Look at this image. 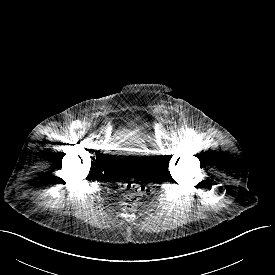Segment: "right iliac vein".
<instances>
[{
  "label": "right iliac vein",
  "mask_w": 275,
  "mask_h": 275,
  "mask_svg": "<svg viewBox=\"0 0 275 275\" xmlns=\"http://www.w3.org/2000/svg\"><path fill=\"white\" fill-rule=\"evenodd\" d=\"M89 125L88 124H83V126L81 127L82 129H84V130H87V129H89Z\"/></svg>",
  "instance_id": "right-iliac-vein-1"
}]
</instances>
